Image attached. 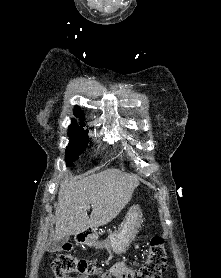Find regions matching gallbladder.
I'll return each instance as SVG.
<instances>
[{
  "label": "gallbladder",
  "instance_id": "obj_1",
  "mask_svg": "<svg viewBox=\"0 0 221 278\" xmlns=\"http://www.w3.org/2000/svg\"><path fill=\"white\" fill-rule=\"evenodd\" d=\"M69 240V235H65L63 236L61 239H59L58 241L54 242L52 244V246L50 247L51 251H59L62 246L67 243Z\"/></svg>",
  "mask_w": 221,
  "mask_h": 278
}]
</instances>
